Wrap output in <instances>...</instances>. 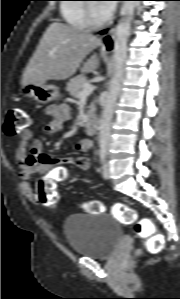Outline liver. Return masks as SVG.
Segmentation results:
<instances>
[{
  "label": "liver",
  "mask_w": 180,
  "mask_h": 299,
  "mask_svg": "<svg viewBox=\"0 0 180 299\" xmlns=\"http://www.w3.org/2000/svg\"><path fill=\"white\" fill-rule=\"evenodd\" d=\"M99 45L101 40L88 31L59 22L50 24L25 68L21 86L70 78ZM98 67L99 57L93 55L83 64L81 73L94 72Z\"/></svg>",
  "instance_id": "6515ba94"
}]
</instances>
